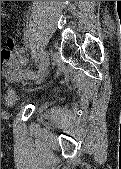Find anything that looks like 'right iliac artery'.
<instances>
[{
  "label": "right iliac artery",
  "mask_w": 121,
  "mask_h": 169,
  "mask_svg": "<svg viewBox=\"0 0 121 169\" xmlns=\"http://www.w3.org/2000/svg\"><path fill=\"white\" fill-rule=\"evenodd\" d=\"M27 78H34L36 76V74L33 71H30L27 73Z\"/></svg>",
  "instance_id": "1"
}]
</instances>
